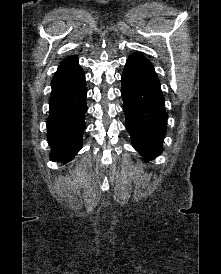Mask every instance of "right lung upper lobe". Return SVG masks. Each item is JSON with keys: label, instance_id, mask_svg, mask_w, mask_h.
<instances>
[{"label": "right lung upper lobe", "instance_id": "cb5924a9", "mask_svg": "<svg viewBox=\"0 0 221 274\" xmlns=\"http://www.w3.org/2000/svg\"><path fill=\"white\" fill-rule=\"evenodd\" d=\"M75 59H77V57H75V56H70V57L64 59L60 64L62 65V64H65V63H67V62L73 61V60H75Z\"/></svg>", "mask_w": 221, "mask_h": 274}]
</instances>
